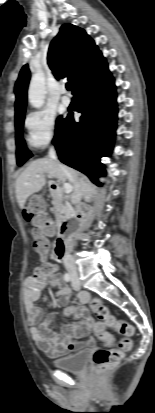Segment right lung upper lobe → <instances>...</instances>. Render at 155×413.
<instances>
[{
	"label": "right lung upper lobe",
	"mask_w": 155,
	"mask_h": 413,
	"mask_svg": "<svg viewBox=\"0 0 155 413\" xmlns=\"http://www.w3.org/2000/svg\"><path fill=\"white\" fill-rule=\"evenodd\" d=\"M48 65L56 79L68 77L73 94L82 84L107 69L106 60L93 39L83 29L69 23L61 26L50 44ZM29 79L30 72L25 65L15 84V122L24 118Z\"/></svg>",
	"instance_id": "obj_1"
}]
</instances>
